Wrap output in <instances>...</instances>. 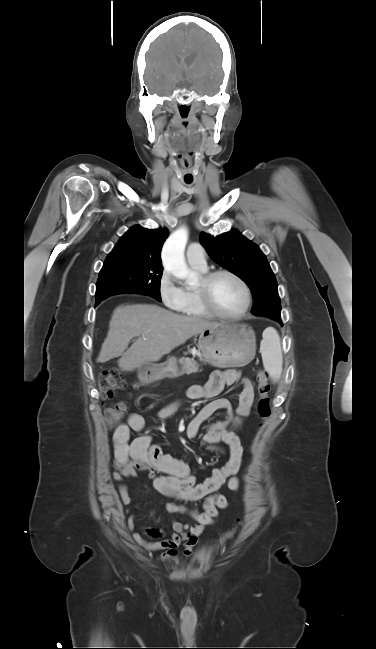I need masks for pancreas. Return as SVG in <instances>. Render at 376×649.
I'll use <instances>...</instances> for the list:
<instances>
[{"instance_id": "obj_1", "label": "pancreas", "mask_w": 376, "mask_h": 649, "mask_svg": "<svg viewBox=\"0 0 376 649\" xmlns=\"http://www.w3.org/2000/svg\"><path fill=\"white\" fill-rule=\"evenodd\" d=\"M183 367H182V372L181 374H187L190 375L192 373L198 372V364L189 358H186L182 361Z\"/></svg>"}]
</instances>
